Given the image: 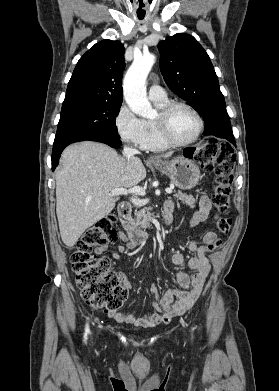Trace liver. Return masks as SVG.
Here are the masks:
<instances>
[{
  "label": "liver",
  "instance_id": "6515ba94",
  "mask_svg": "<svg viewBox=\"0 0 279 391\" xmlns=\"http://www.w3.org/2000/svg\"><path fill=\"white\" fill-rule=\"evenodd\" d=\"M172 153H166L169 158ZM56 170V214L63 243L73 247L89 227L107 216L118 195L110 190L130 188L146 177L139 158L128 160L109 146L84 141L68 146Z\"/></svg>",
  "mask_w": 279,
  "mask_h": 391
}]
</instances>
